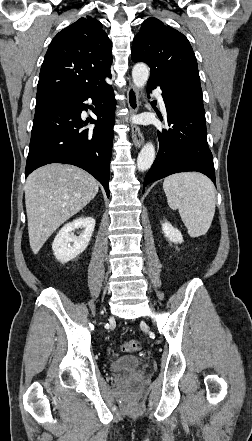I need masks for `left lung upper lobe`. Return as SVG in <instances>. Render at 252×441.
<instances>
[{
	"mask_svg": "<svg viewBox=\"0 0 252 441\" xmlns=\"http://www.w3.org/2000/svg\"><path fill=\"white\" fill-rule=\"evenodd\" d=\"M132 60L151 68L148 82L182 85L202 100L197 60L187 38L156 18L142 23L132 46Z\"/></svg>",
	"mask_w": 252,
	"mask_h": 441,
	"instance_id": "5c2ea615",
	"label": "left lung upper lobe"
}]
</instances>
